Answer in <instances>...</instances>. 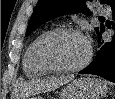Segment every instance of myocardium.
Here are the masks:
<instances>
[{
  "label": "myocardium",
  "instance_id": "obj_1",
  "mask_svg": "<svg viewBox=\"0 0 115 99\" xmlns=\"http://www.w3.org/2000/svg\"><path fill=\"white\" fill-rule=\"evenodd\" d=\"M65 35H78L87 43V54L82 62L74 66H60L54 63L48 55V46L49 44L54 41L55 39L65 36ZM92 46L84 34L75 28H57L50 31L46 34L39 42L37 47V58L40 64L47 69L49 72H56V73H69V72H76L83 68H85L91 61L92 58Z\"/></svg>",
  "mask_w": 115,
  "mask_h": 99
}]
</instances>
